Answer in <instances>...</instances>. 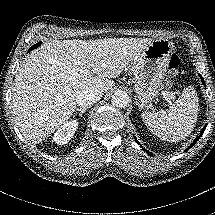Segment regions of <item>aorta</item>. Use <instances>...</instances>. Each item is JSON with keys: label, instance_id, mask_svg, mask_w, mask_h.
<instances>
[{"label": "aorta", "instance_id": "aorta-1", "mask_svg": "<svg viewBox=\"0 0 215 215\" xmlns=\"http://www.w3.org/2000/svg\"><path fill=\"white\" fill-rule=\"evenodd\" d=\"M130 102L129 95L124 91H116L112 95L111 103L115 107L125 108Z\"/></svg>", "mask_w": 215, "mask_h": 215}]
</instances>
